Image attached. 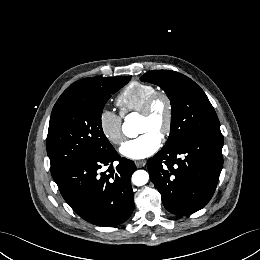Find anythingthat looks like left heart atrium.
Returning <instances> with one entry per match:
<instances>
[{"instance_id": "left-heart-atrium-1", "label": "left heart atrium", "mask_w": 260, "mask_h": 260, "mask_svg": "<svg viewBox=\"0 0 260 260\" xmlns=\"http://www.w3.org/2000/svg\"><path fill=\"white\" fill-rule=\"evenodd\" d=\"M161 146V137L155 132L142 133L120 147V153L130 159L140 160L153 155Z\"/></svg>"}]
</instances>
